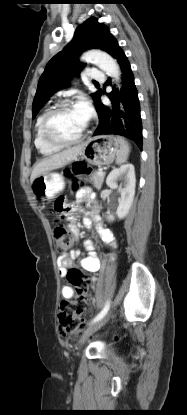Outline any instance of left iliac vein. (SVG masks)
Wrapping results in <instances>:
<instances>
[{
    "instance_id": "obj_1",
    "label": "left iliac vein",
    "mask_w": 187,
    "mask_h": 415,
    "mask_svg": "<svg viewBox=\"0 0 187 415\" xmlns=\"http://www.w3.org/2000/svg\"><path fill=\"white\" fill-rule=\"evenodd\" d=\"M112 313H108L106 314L103 318H101L100 320L94 322L93 324H91L86 331L84 332L80 344L82 345L94 332H96L98 329H100L103 325H105L108 320L110 319Z\"/></svg>"
}]
</instances>
